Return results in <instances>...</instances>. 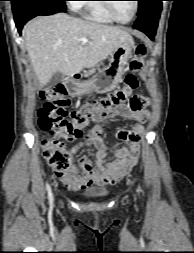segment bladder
Listing matches in <instances>:
<instances>
[{
    "mask_svg": "<svg viewBox=\"0 0 194 253\" xmlns=\"http://www.w3.org/2000/svg\"><path fill=\"white\" fill-rule=\"evenodd\" d=\"M81 195L85 199L101 200L110 195V190L103 186H96L86 189Z\"/></svg>",
    "mask_w": 194,
    "mask_h": 253,
    "instance_id": "bladder-1",
    "label": "bladder"
}]
</instances>
